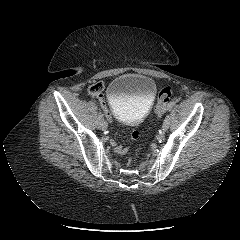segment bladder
<instances>
[{
  "mask_svg": "<svg viewBox=\"0 0 240 240\" xmlns=\"http://www.w3.org/2000/svg\"><path fill=\"white\" fill-rule=\"evenodd\" d=\"M156 91L157 86L152 78L126 73L111 81L107 88V99L120 122L135 125L149 113Z\"/></svg>",
  "mask_w": 240,
  "mask_h": 240,
  "instance_id": "1",
  "label": "bladder"
}]
</instances>
